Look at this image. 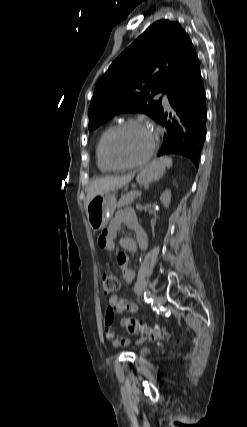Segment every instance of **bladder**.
Wrapping results in <instances>:
<instances>
[{
    "instance_id": "bladder-1",
    "label": "bladder",
    "mask_w": 247,
    "mask_h": 427,
    "mask_svg": "<svg viewBox=\"0 0 247 427\" xmlns=\"http://www.w3.org/2000/svg\"><path fill=\"white\" fill-rule=\"evenodd\" d=\"M149 351H150V350H149V348L144 347V348H142V349H141V351H140V352H141V354H142V355H146V354H148V353H149Z\"/></svg>"
}]
</instances>
